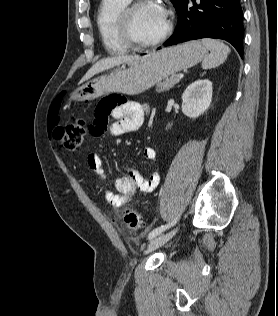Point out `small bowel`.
I'll return each mask as SVG.
<instances>
[{
    "label": "small bowel",
    "mask_w": 278,
    "mask_h": 316,
    "mask_svg": "<svg viewBox=\"0 0 278 316\" xmlns=\"http://www.w3.org/2000/svg\"><path fill=\"white\" fill-rule=\"evenodd\" d=\"M146 112V106L125 100L117 95H110L103 98L95 112V119L91 125L90 132L94 136L101 135L106 129L108 116H112L115 122L110 127L112 134H124L138 130L143 122ZM143 158L153 162L156 159V152L152 147H145ZM86 163L88 167L101 180L106 179V173L103 168L102 159L99 151L89 150L86 154ZM160 176L158 172H151L145 178L133 167H128V174L116 180L117 192L105 191L104 196L107 202L114 208H120L132 200L137 192L148 194L152 192L159 184Z\"/></svg>",
    "instance_id": "small-bowel-1"
}]
</instances>
